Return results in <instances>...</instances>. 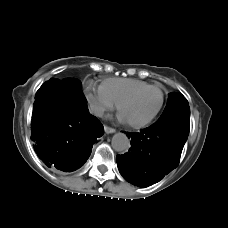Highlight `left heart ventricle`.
<instances>
[{
  "mask_svg": "<svg viewBox=\"0 0 228 228\" xmlns=\"http://www.w3.org/2000/svg\"><path fill=\"white\" fill-rule=\"evenodd\" d=\"M160 101V94L156 90H149L126 102L122 107V114L127 121L141 122L153 114Z\"/></svg>",
  "mask_w": 228,
  "mask_h": 228,
  "instance_id": "obj_1",
  "label": "left heart ventricle"
}]
</instances>
